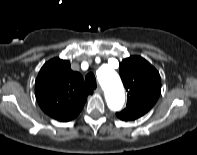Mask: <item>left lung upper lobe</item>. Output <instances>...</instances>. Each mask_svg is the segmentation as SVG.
<instances>
[{"mask_svg": "<svg viewBox=\"0 0 197 155\" xmlns=\"http://www.w3.org/2000/svg\"><path fill=\"white\" fill-rule=\"evenodd\" d=\"M119 72L128 92V99L126 108L116 115L123 121L135 120L146 114L156 103L161 91V78L158 71L139 56L124 59Z\"/></svg>", "mask_w": 197, "mask_h": 155, "instance_id": "5c2ea615", "label": "left lung upper lobe"}]
</instances>
